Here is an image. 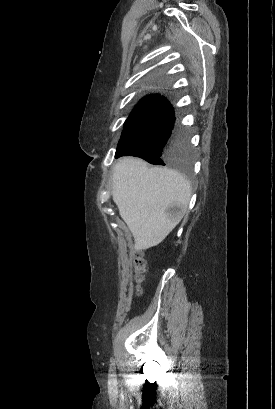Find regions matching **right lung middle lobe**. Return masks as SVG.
<instances>
[{
    "instance_id": "obj_1",
    "label": "right lung middle lobe",
    "mask_w": 275,
    "mask_h": 409,
    "mask_svg": "<svg viewBox=\"0 0 275 409\" xmlns=\"http://www.w3.org/2000/svg\"><path fill=\"white\" fill-rule=\"evenodd\" d=\"M155 79L172 78V71L155 70ZM172 105L160 95L141 99L124 124L115 157L132 155L155 165L173 167L177 177L196 182L191 172L194 151L188 132L176 121ZM193 177V178H192Z\"/></svg>"
}]
</instances>
